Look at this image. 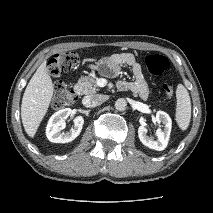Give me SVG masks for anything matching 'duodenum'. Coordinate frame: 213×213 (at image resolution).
<instances>
[{"instance_id": "1", "label": "duodenum", "mask_w": 213, "mask_h": 213, "mask_svg": "<svg viewBox=\"0 0 213 213\" xmlns=\"http://www.w3.org/2000/svg\"><path fill=\"white\" fill-rule=\"evenodd\" d=\"M75 93H76V95H79L80 94V89L76 88L75 89Z\"/></svg>"}]
</instances>
